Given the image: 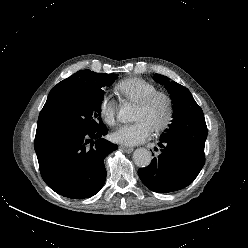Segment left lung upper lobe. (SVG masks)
Returning a JSON list of instances; mask_svg holds the SVG:
<instances>
[{"instance_id": "left-lung-upper-lobe-1", "label": "left lung upper lobe", "mask_w": 248, "mask_h": 248, "mask_svg": "<svg viewBox=\"0 0 248 248\" xmlns=\"http://www.w3.org/2000/svg\"><path fill=\"white\" fill-rule=\"evenodd\" d=\"M154 80L165 86L174 104L173 119L161 139L183 136L195 142L205 143L208 130L204 114L190 91L161 74H155Z\"/></svg>"}]
</instances>
